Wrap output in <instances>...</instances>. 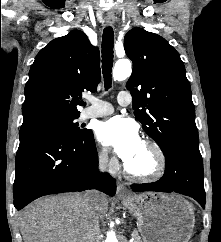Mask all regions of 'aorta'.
I'll return each instance as SVG.
<instances>
[{
  "instance_id": "1",
  "label": "aorta",
  "mask_w": 221,
  "mask_h": 242,
  "mask_svg": "<svg viewBox=\"0 0 221 242\" xmlns=\"http://www.w3.org/2000/svg\"><path fill=\"white\" fill-rule=\"evenodd\" d=\"M132 73L131 63L127 59L118 60L113 69V78L115 81H124ZM104 242H118L115 232L110 230L107 232V236Z\"/></svg>"
}]
</instances>
